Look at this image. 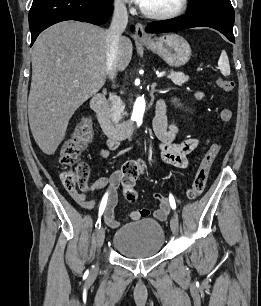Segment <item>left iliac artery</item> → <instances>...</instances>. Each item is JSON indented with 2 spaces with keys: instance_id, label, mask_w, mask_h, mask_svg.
<instances>
[{
  "instance_id": "left-iliac-artery-1",
  "label": "left iliac artery",
  "mask_w": 261,
  "mask_h": 306,
  "mask_svg": "<svg viewBox=\"0 0 261 306\" xmlns=\"http://www.w3.org/2000/svg\"><path fill=\"white\" fill-rule=\"evenodd\" d=\"M169 201H170V205L172 207V209H176V203H175V200H174V197L172 196V194L169 195Z\"/></svg>"
}]
</instances>
